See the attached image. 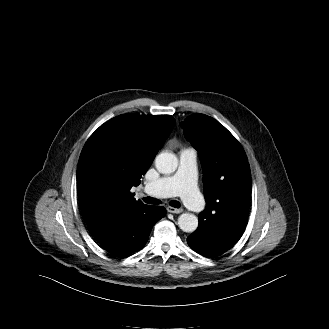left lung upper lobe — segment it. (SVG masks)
Segmentation results:
<instances>
[{
	"label": "left lung upper lobe",
	"mask_w": 329,
	"mask_h": 329,
	"mask_svg": "<svg viewBox=\"0 0 329 329\" xmlns=\"http://www.w3.org/2000/svg\"><path fill=\"white\" fill-rule=\"evenodd\" d=\"M185 138L200 152L206 208L198 216L206 226L224 225L248 213L251 174L235 137L214 118L193 114L180 123ZM227 230H229L227 228Z\"/></svg>",
	"instance_id": "left-lung-upper-lobe-1"
}]
</instances>
